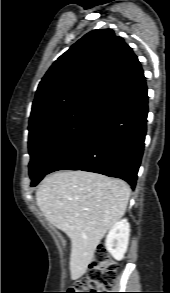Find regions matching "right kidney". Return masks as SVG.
Here are the masks:
<instances>
[{
	"label": "right kidney",
	"instance_id": "1",
	"mask_svg": "<svg viewBox=\"0 0 170 293\" xmlns=\"http://www.w3.org/2000/svg\"><path fill=\"white\" fill-rule=\"evenodd\" d=\"M130 234V225L127 219L118 221L107 234L105 246L107 251L116 260H122L127 251Z\"/></svg>",
	"mask_w": 170,
	"mask_h": 293
}]
</instances>
